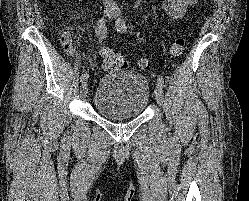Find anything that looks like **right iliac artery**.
<instances>
[{"instance_id": "82829eb1", "label": "right iliac artery", "mask_w": 249, "mask_h": 201, "mask_svg": "<svg viewBox=\"0 0 249 201\" xmlns=\"http://www.w3.org/2000/svg\"><path fill=\"white\" fill-rule=\"evenodd\" d=\"M96 34H97L98 38H100V39H105L106 38V36H107V27H106L104 19H100L98 21L97 26H96ZM88 78H89V74L86 72V73H83L81 75L80 80L81 81H86Z\"/></svg>"}]
</instances>
